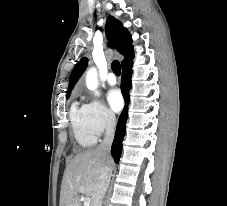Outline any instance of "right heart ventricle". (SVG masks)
Instances as JSON below:
<instances>
[{
    "instance_id": "right-heart-ventricle-1",
    "label": "right heart ventricle",
    "mask_w": 227,
    "mask_h": 206,
    "mask_svg": "<svg viewBox=\"0 0 227 206\" xmlns=\"http://www.w3.org/2000/svg\"><path fill=\"white\" fill-rule=\"evenodd\" d=\"M70 120L77 143L84 148L93 146L97 136L88 125L84 106L73 103L70 109Z\"/></svg>"
}]
</instances>
